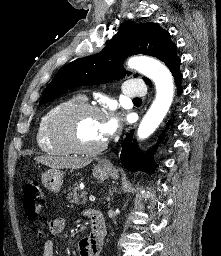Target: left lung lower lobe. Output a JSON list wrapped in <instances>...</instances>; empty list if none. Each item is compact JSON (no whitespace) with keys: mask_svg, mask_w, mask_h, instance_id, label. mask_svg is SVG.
<instances>
[{"mask_svg":"<svg viewBox=\"0 0 221 256\" xmlns=\"http://www.w3.org/2000/svg\"><path fill=\"white\" fill-rule=\"evenodd\" d=\"M176 85L178 88V94L182 92L180 82L182 79V74L179 70L172 73ZM150 85V84H149ZM132 134L131 132L129 136L125 139V142L122 147L121 151V162L123 166H125L128 170L134 171L138 166L142 169L147 170L148 172L152 173L153 169L155 168L154 165H152L151 159H152V153L146 154L145 156H142L141 153L138 150L136 141H132ZM162 136H160V139Z\"/></svg>","mask_w":221,"mask_h":256,"instance_id":"0a47b994","label":"left lung lower lobe"}]
</instances>
